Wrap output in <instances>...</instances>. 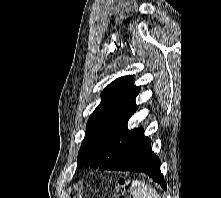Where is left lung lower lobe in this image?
Wrapping results in <instances>:
<instances>
[{"instance_id": "obj_1", "label": "left lung lower lobe", "mask_w": 221, "mask_h": 198, "mask_svg": "<svg viewBox=\"0 0 221 198\" xmlns=\"http://www.w3.org/2000/svg\"><path fill=\"white\" fill-rule=\"evenodd\" d=\"M99 169L145 172L166 190L160 160L151 150V141L142 127L125 140Z\"/></svg>"}]
</instances>
